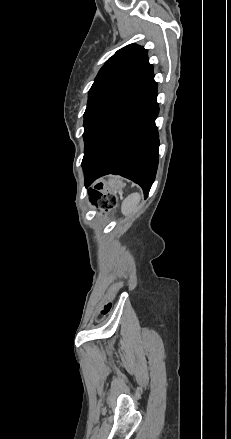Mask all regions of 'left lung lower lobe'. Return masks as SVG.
Listing matches in <instances>:
<instances>
[{
	"mask_svg": "<svg viewBox=\"0 0 231 439\" xmlns=\"http://www.w3.org/2000/svg\"><path fill=\"white\" fill-rule=\"evenodd\" d=\"M156 97L157 83L152 74L84 136L86 186L103 175L119 174L138 183L148 195L159 156Z\"/></svg>",
	"mask_w": 231,
	"mask_h": 439,
	"instance_id": "0a47b994",
	"label": "left lung lower lobe"
}]
</instances>
